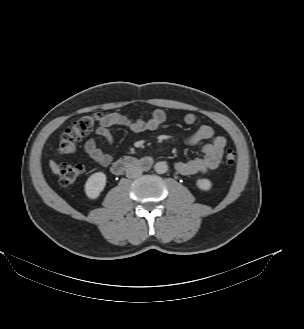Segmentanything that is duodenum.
I'll return each mask as SVG.
<instances>
[{"label": "duodenum", "mask_w": 304, "mask_h": 329, "mask_svg": "<svg viewBox=\"0 0 304 329\" xmlns=\"http://www.w3.org/2000/svg\"><path fill=\"white\" fill-rule=\"evenodd\" d=\"M148 163H149V161L147 159L138 160L134 157L127 156V157L121 158L118 161H116L112 165L111 170H112L113 174L120 175L129 169L147 166Z\"/></svg>", "instance_id": "1"}]
</instances>
